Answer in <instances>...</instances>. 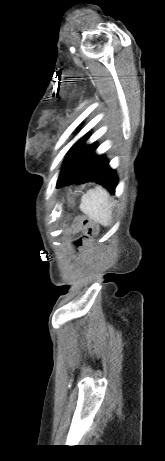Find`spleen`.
Masks as SVG:
<instances>
[{
  "instance_id": "spleen-1",
  "label": "spleen",
  "mask_w": 165,
  "mask_h": 461,
  "mask_svg": "<svg viewBox=\"0 0 165 461\" xmlns=\"http://www.w3.org/2000/svg\"><path fill=\"white\" fill-rule=\"evenodd\" d=\"M80 210L91 220L109 226L112 221V203L109 193L101 186L88 190L81 198Z\"/></svg>"
}]
</instances>
